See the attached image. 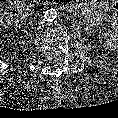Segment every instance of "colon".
I'll list each match as a JSON object with an SVG mask.
<instances>
[{
	"label": "colon",
	"instance_id": "colon-1",
	"mask_svg": "<svg viewBox=\"0 0 118 118\" xmlns=\"http://www.w3.org/2000/svg\"><path fill=\"white\" fill-rule=\"evenodd\" d=\"M28 11V4L25 0H10L6 6L2 23L5 26L16 24Z\"/></svg>",
	"mask_w": 118,
	"mask_h": 118
}]
</instances>
